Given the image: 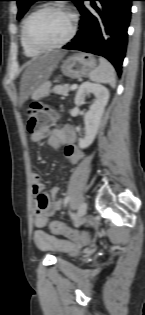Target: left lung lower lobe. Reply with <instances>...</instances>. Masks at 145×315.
<instances>
[{
    "label": "left lung lower lobe",
    "mask_w": 145,
    "mask_h": 315,
    "mask_svg": "<svg viewBox=\"0 0 145 315\" xmlns=\"http://www.w3.org/2000/svg\"><path fill=\"white\" fill-rule=\"evenodd\" d=\"M83 1L79 0L76 5L82 15L79 31L63 48L103 56L121 75L133 0H90L91 11L83 5Z\"/></svg>",
    "instance_id": "0a47b994"
}]
</instances>
